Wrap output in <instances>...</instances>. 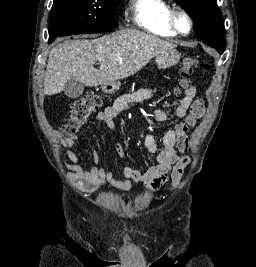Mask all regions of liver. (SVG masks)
<instances>
[{"label": "liver", "mask_w": 256, "mask_h": 267, "mask_svg": "<svg viewBox=\"0 0 256 267\" xmlns=\"http://www.w3.org/2000/svg\"><path fill=\"white\" fill-rule=\"evenodd\" d=\"M171 48H176L172 42L129 28L98 40H65L49 52L44 94H60L73 78L84 86L123 80ZM95 62H99V70L94 68Z\"/></svg>", "instance_id": "obj_1"}]
</instances>
